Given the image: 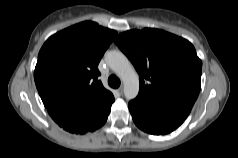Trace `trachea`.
Listing matches in <instances>:
<instances>
[{"label":"trachea","mask_w":238,"mask_h":158,"mask_svg":"<svg viewBox=\"0 0 238 158\" xmlns=\"http://www.w3.org/2000/svg\"><path fill=\"white\" fill-rule=\"evenodd\" d=\"M108 84L112 88H118L120 86V80L115 75H111L108 78Z\"/></svg>","instance_id":"1"}]
</instances>
